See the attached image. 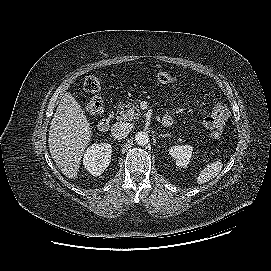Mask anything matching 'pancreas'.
<instances>
[{
    "instance_id": "obj_1",
    "label": "pancreas",
    "mask_w": 271,
    "mask_h": 271,
    "mask_svg": "<svg viewBox=\"0 0 271 271\" xmlns=\"http://www.w3.org/2000/svg\"><path fill=\"white\" fill-rule=\"evenodd\" d=\"M122 106L118 111L117 120L119 121H134L138 120L141 116L139 105L136 102H129L127 105Z\"/></svg>"
}]
</instances>
